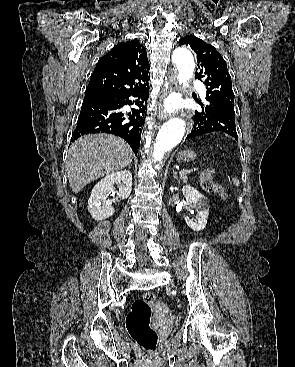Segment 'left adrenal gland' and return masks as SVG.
Returning <instances> with one entry per match:
<instances>
[{
    "instance_id": "obj_1",
    "label": "left adrenal gland",
    "mask_w": 295,
    "mask_h": 367,
    "mask_svg": "<svg viewBox=\"0 0 295 367\" xmlns=\"http://www.w3.org/2000/svg\"><path fill=\"white\" fill-rule=\"evenodd\" d=\"M173 177L175 178V179H177L178 178V176H177V173L173 170Z\"/></svg>"
}]
</instances>
